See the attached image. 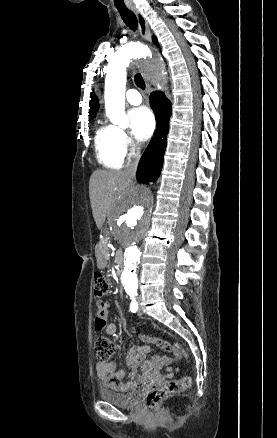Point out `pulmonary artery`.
Segmentation results:
<instances>
[{"label":"pulmonary artery","instance_id":"1","mask_svg":"<svg viewBox=\"0 0 277 438\" xmlns=\"http://www.w3.org/2000/svg\"><path fill=\"white\" fill-rule=\"evenodd\" d=\"M141 89L140 87H130L129 90L126 91V100L128 103L132 105H139L142 102L140 97Z\"/></svg>","mask_w":277,"mask_h":438}]
</instances>
